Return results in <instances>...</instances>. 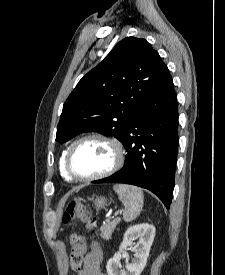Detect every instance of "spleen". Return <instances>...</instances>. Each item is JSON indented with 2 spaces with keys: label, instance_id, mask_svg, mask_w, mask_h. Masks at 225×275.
Listing matches in <instances>:
<instances>
[{
  "label": "spleen",
  "instance_id": "3e777b00",
  "mask_svg": "<svg viewBox=\"0 0 225 275\" xmlns=\"http://www.w3.org/2000/svg\"><path fill=\"white\" fill-rule=\"evenodd\" d=\"M113 189L118 194L120 201L124 204V221L131 222L135 220L143 208L144 195L142 190L136 186L127 184H117Z\"/></svg>",
  "mask_w": 225,
  "mask_h": 275
}]
</instances>
